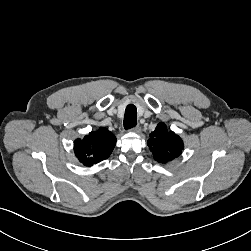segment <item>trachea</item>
Listing matches in <instances>:
<instances>
[{
    "label": "trachea",
    "mask_w": 251,
    "mask_h": 251,
    "mask_svg": "<svg viewBox=\"0 0 251 251\" xmlns=\"http://www.w3.org/2000/svg\"><path fill=\"white\" fill-rule=\"evenodd\" d=\"M137 124V109L135 105L129 104L125 110L124 128L131 129Z\"/></svg>",
    "instance_id": "1"
}]
</instances>
